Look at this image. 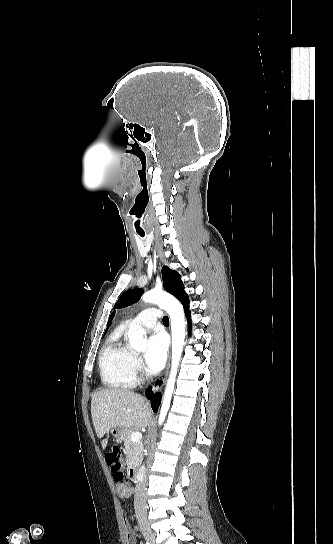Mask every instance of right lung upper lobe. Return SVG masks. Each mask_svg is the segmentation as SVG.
Listing matches in <instances>:
<instances>
[{"mask_svg": "<svg viewBox=\"0 0 333 544\" xmlns=\"http://www.w3.org/2000/svg\"><path fill=\"white\" fill-rule=\"evenodd\" d=\"M114 315H115V311L111 314V316H110V318H109V321H108V323H107V327L110 326V324H111V322H112V319H113Z\"/></svg>", "mask_w": 333, "mask_h": 544, "instance_id": "right-lung-upper-lobe-1", "label": "right lung upper lobe"}]
</instances>
